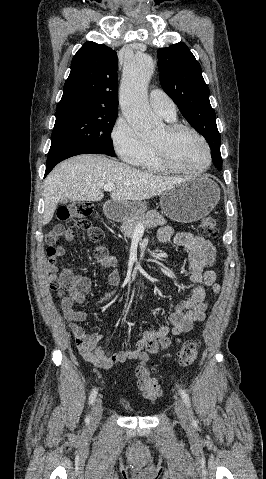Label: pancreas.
Returning a JSON list of instances; mask_svg holds the SVG:
<instances>
[{
  "label": "pancreas",
  "mask_w": 266,
  "mask_h": 479,
  "mask_svg": "<svg viewBox=\"0 0 266 479\" xmlns=\"http://www.w3.org/2000/svg\"><path fill=\"white\" fill-rule=\"evenodd\" d=\"M143 224L144 228L162 226L167 223L165 218L156 210H150L146 214L131 216L123 221L122 233L124 237L132 238L137 224Z\"/></svg>",
  "instance_id": "obj_1"
}]
</instances>
